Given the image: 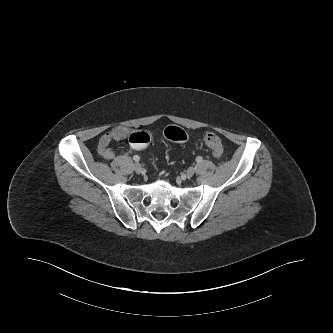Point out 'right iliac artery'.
<instances>
[{
  "label": "right iliac artery",
  "instance_id": "obj_1",
  "mask_svg": "<svg viewBox=\"0 0 333 333\" xmlns=\"http://www.w3.org/2000/svg\"><path fill=\"white\" fill-rule=\"evenodd\" d=\"M133 159H134V161H136V162L140 161V157H139L138 155H134V156H133Z\"/></svg>",
  "mask_w": 333,
  "mask_h": 333
}]
</instances>
